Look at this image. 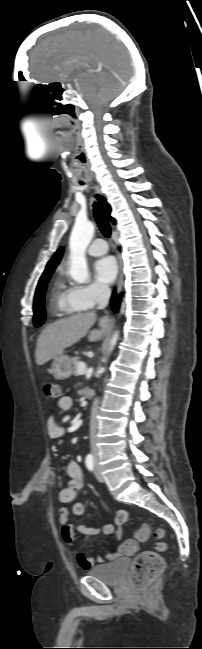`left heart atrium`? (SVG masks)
I'll return each mask as SVG.
<instances>
[{"label": "left heart atrium", "instance_id": "left-heart-atrium-1", "mask_svg": "<svg viewBox=\"0 0 202 649\" xmlns=\"http://www.w3.org/2000/svg\"><path fill=\"white\" fill-rule=\"evenodd\" d=\"M96 279L104 284L111 283L117 275V264L113 257L106 256L99 259L94 265Z\"/></svg>", "mask_w": 202, "mask_h": 649}]
</instances>
